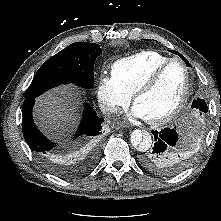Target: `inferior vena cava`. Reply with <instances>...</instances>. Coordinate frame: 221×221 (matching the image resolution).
Segmentation results:
<instances>
[{"label": "inferior vena cava", "instance_id": "602c4592", "mask_svg": "<svg viewBox=\"0 0 221 221\" xmlns=\"http://www.w3.org/2000/svg\"><path fill=\"white\" fill-rule=\"evenodd\" d=\"M101 111L104 114H111V113H117L118 109L116 106H114L112 103H103L100 107Z\"/></svg>", "mask_w": 221, "mask_h": 221}]
</instances>
